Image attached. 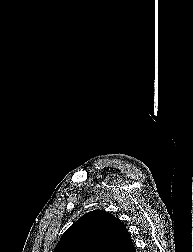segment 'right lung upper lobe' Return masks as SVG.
Here are the masks:
<instances>
[{"label": "right lung upper lobe", "instance_id": "cb5924a9", "mask_svg": "<svg viewBox=\"0 0 193 252\" xmlns=\"http://www.w3.org/2000/svg\"><path fill=\"white\" fill-rule=\"evenodd\" d=\"M54 252H135L125 225L112 214L94 210L62 235Z\"/></svg>", "mask_w": 193, "mask_h": 252}]
</instances>
